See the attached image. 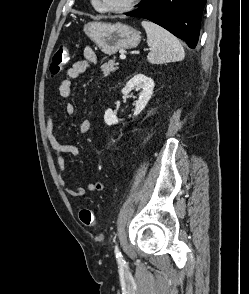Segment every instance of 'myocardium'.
<instances>
[{
    "label": "myocardium",
    "instance_id": "1",
    "mask_svg": "<svg viewBox=\"0 0 249 294\" xmlns=\"http://www.w3.org/2000/svg\"><path fill=\"white\" fill-rule=\"evenodd\" d=\"M94 4L97 6V8L104 13H125L130 10H132L139 2L140 0H128L126 3H124L122 6L119 7H108V6H103L100 4L99 0H92Z\"/></svg>",
    "mask_w": 249,
    "mask_h": 294
}]
</instances>
